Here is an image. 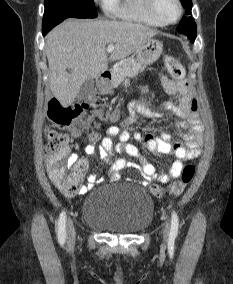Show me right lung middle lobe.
Here are the masks:
<instances>
[{
  "instance_id": "right-lung-middle-lobe-1",
  "label": "right lung middle lobe",
  "mask_w": 233,
  "mask_h": 284,
  "mask_svg": "<svg viewBox=\"0 0 233 284\" xmlns=\"http://www.w3.org/2000/svg\"><path fill=\"white\" fill-rule=\"evenodd\" d=\"M44 6L42 29H52L69 17H97L93 0H45Z\"/></svg>"
}]
</instances>
